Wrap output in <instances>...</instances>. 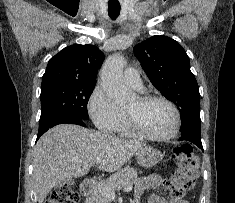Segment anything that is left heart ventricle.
Instances as JSON below:
<instances>
[{
    "instance_id": "obj_1",
    "label": "left heart ventricle",
    "mask_w": 235,
    "mask_h": 203,
    "mask_svg": "<svg viewBox=\"0 0 235 203\" xmlns=\"http://www.w3.org/2000/svg\"><path fill=\"white\" fill-rule=\"evenodd\" d=\"M126 109L135 116L141 128L149 134L165 135L172 130L174 114L164 102L142 103L135 98L126 106Z\"/></svg>"
}]
</instances>
